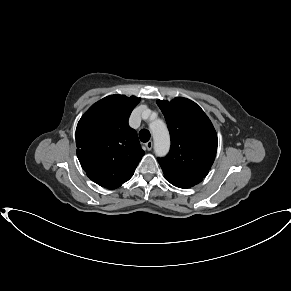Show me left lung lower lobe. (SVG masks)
Listing matches in <instances>:
<instances>
[{"mask_svg":"<svg viewBox=\"0 0 291 291\" xmlns=\"http://www.w3.org/2000/svg\"><path fill=\"white\" fill-rule=\"evenodd\" d=\"M170 182V181H169ZM171 184H173L174 186H176V187H179V188H184V189H186L185 187H182V186H180V185H178V184H175V183H173V182H170Z\"/></svg>","mask_w":291,"mask_h":291,"instance_id":"left-lung-lower-lobe-1","label":"left lung lower lobe"}]
</instances>
